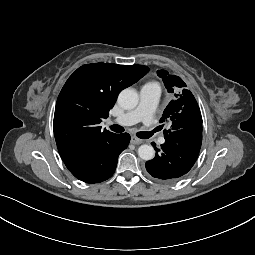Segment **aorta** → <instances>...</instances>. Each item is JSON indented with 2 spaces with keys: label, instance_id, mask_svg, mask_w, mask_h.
Segmentation results:
<instances>
[{
  "label": "aorta",
  "instance_id": "1",
  "mask_svg": "<svg viewBox=\"0 0 255 255\" xmlns=\"http://www.w3.org/2000/svg\"><path fill=\"white\" fill-rule=\"evenodd\" d=\"M138 101V93L131 88L122 90L118 96L119 105L127 110L135 108L138 104ZM138 155L143 160H151L155 156V150L151 145L144 144L138 148Z\"/></svg>",
  "mask_w": 255,
  "mask_h": 255
}]
</instances>
